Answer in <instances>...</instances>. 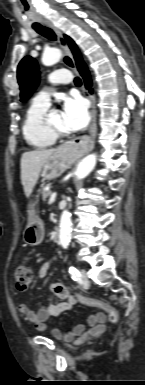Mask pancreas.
<instances>
[{
  "label": "pancreas",
  "instance_id": "cf45deb5",
  "mask_svg": "<svg viewBox=\"0 0 145 385\" xmlns=\"http://www.w3.org/2000/svg\"><path fill=\"white\" fill-rule=\"evenodd\" d=\"M51 191L50 190H46V188L44 187L43 190H42V196H43V200L45 201L47 198H49L51 196Z\"/></svg>",
  "mask_w": 145,
  "mask_h": 385
}]
</instances>
